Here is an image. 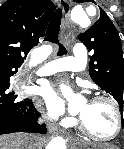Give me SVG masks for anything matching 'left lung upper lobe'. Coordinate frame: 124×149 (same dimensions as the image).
<instances>
[{"label": "left lung upper lobe", "mask_w": 124, "mask_h": 149, "mask_svg": "<svg viewBox=\"0 0 124 149\" xmlns=\"http://www.w3.org/2000/svg\"><path fill=\"white\" fill-rule=\"evenodd\" d=\"M75 1L82 2L81 0ZM100 12L99 20L86 32L80 34L79 39L92 53L89 63V73L92 80L102 90L113 96L122 112L124 59L121 39L107 14L102 9Z\"/></svg>", "instance_id": "left-lung-upper-lobe-1"}]
</instances>
